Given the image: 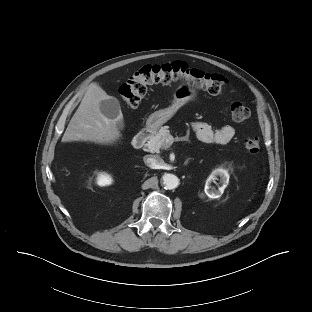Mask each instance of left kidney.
Listing matches in <instances>:
<instances>
[{
	"mask_svg": "<svg viewBox=\"0 0 312 312\" xmlns=\"http://www.w3.org/2000/svg\"><path fill=\"white\" fill-rule=\"evenodd\" d=\"M213 176L220 177V182L222 183V186L219 187L218 190H215L211 186V182L212 180H214V178H209L206 180L204 191L209 198L215 199L221 197V195L223 194L224 189L229 182V174L227 170L223 168H217L216 170L213 171Z\"/></svg>",
	"mask_w": 312,
	"mask_h": 312,
	"instance_id": "1",
	"label": "left kidney"
}]
</instances>
